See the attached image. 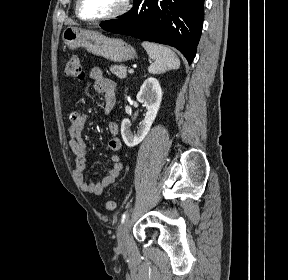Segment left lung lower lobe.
I'll return each instance as SVG.
<instances>
[{
    "mask_svg": "<svg viewBox=\"0 0 288 280\" xmlns=\"http://www.w3.org/2000/svg\"><path fill=\"white\" fill-rule=\"evenodd\" d=\"M204 0H135L132 9L100 26L178 49L193 61L203 25Z\"/></svg>",
    "mask_w": 288,
    "mask_h": 280,
    "instance_id": "1",
    "label": "left lung lower lobe"
}]
</instances>
